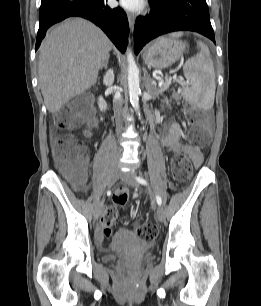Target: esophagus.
I'll list each match as a JSON object with an SVG mask.
<instances>
[{
	"label": "esophagus",
	"mask_w": 261,
	"mask_h": 306,
	"mask_svg": "<svg viewBox=\"0 0 261 306\" xmlns=\"http://www.w3.org/2000/svg\"><path fill=\"white\" fill-rule=\"evenodd\" d=\"M130 29L133 30L135 24V16L132 13L127 14Z\"/></svg>",
	"instance_id": "1"
}]
</instances>
